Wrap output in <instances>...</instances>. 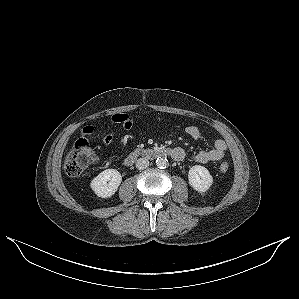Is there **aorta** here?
<instances>
[{"label": "aorta", "mask_w": 299, "mask_h": 299, "mask_svg": "<svg viewBox=\"0 0 299 299\" xmlns=\"http://www.w3.org/2000/svg\"><path fill=\"white\" fill-rule=\"evenodd\" d=\"M156 166L158 168H165L167 166V159L164 157H158L156 159Z\"/></svg>", "instance_id": "1"}]
</instances>
